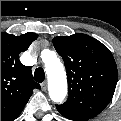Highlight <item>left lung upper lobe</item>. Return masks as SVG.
<instances>
[{"instance_id": "1", "label": "left lung upper lobe", "mask_w": 121, "mask_h": 121, "mask_svg": "<svg viewBox=\"0 0 121 121\" xmlns=\"http://www.w3.org/2000/svg\"><path fill=\"white\" fill-rule=\"evenodd\" d=\"M53 44L65 63L69 93L57 110L74 121L95 117L110 102L117 84L111 52L86 34L55 37Z\"/></svg>"}]
</instances>
